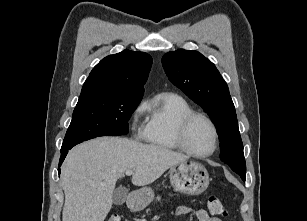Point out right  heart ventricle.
Masks as SVG:
<instances>
[{
	"instance_id": "e07e8e85",
	"label": "right heart ventricle",
	"mask_w": 307,
	"mask_h": 221,
	"mask_svg": "<svg viewBox=\"0 0 307 221\" xmlns=\"http://www.w3.org/2000/svg\"><path fill=\"white\" fill-rule=\"evenodd\" d=\"M149 112L144 138L154 146L176 150V129L180 119L193 111L190 104L175 93H162L145 105Z\"/></svg>"
}]
</instances>
